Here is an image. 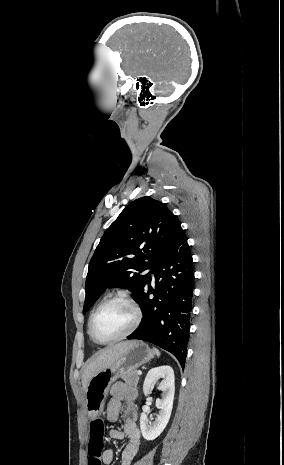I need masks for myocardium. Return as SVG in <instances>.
I'll list each match as a JSON object with an SVG mask.
<instances>
[{
    "instance_id": "obj_1",
    "label": "myocardium",
    "mask_w": 284,
    "mask_h": 465,
    "mask_svg": "<svg viewBox=\"0 0 284 465\" xmlns=\"http://www.w3.org/2000/svg\"><path fill=\"white\" fill-rule=\"evenodd\" d=\"M116 302L124 303V304L128 305L132 309L133 314H134V321H133L130 329L125 334H123L122 336H120L118 338H115L113 340H109V341H100L95 337V335L93 333V324H94L95 318L97 317L98 313L105 306H107V305H109L111 303H116ZM141 320H142V311H141V309H140V307H139V305H138V303L136 302L135 299H133L132 297L127 296V295H115V296H112V297H110L108 299H105L104 301H102L95 308V310L91 314V317H90V320H89L88 331H89V335H90L91 339L96 344H98V345H111V344H115V343L121 342V341L129 338L136 331V329L140 325Z\"/></svg>"
}]
</instances>
